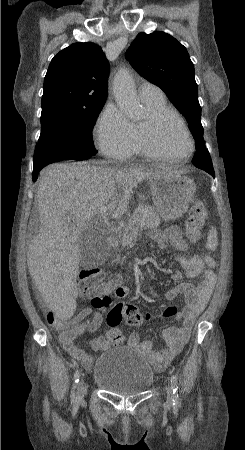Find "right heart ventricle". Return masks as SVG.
<instances>
[{
  "label": "right heart ventricle",
  "instance_id": "e07e8e85",
  "mask_svg": "<svg viewBox=\"0 0 245 450\" xmlns=\"http://www.w3.org/2000/svg\"><path fill=\"white\" fill-rule=\"evenodd\" d=\"M143 103L146 106L150 116L159 114V113H163V112H169V113L173 114L174 116H176L180 121H182L179 114L176 112V110L174 108H172L168 104V102L166 101L165 98L145 101ZM143 124H144V122L134 125V131H135V136H136L135 152L145 156L146 152L143 147V142H142V137H141V128H142Z\"/></svg>",
  "mask_w": 245,
  "mask_h": 450
}]
</instances>
